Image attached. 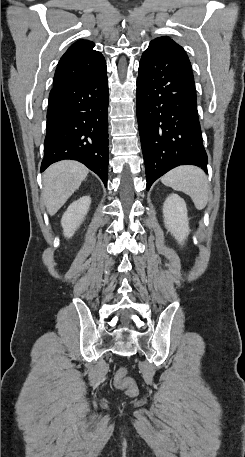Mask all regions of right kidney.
Here are the masks:
<instances>
[{
    "mask_svg": "<svg viewBox=\"0 0 245 457\" xmlns=\"http://www.w3.org/2000/svg\"><path fill=\"white\" fill-rule=\"evenodd\" d=\"M91 204V196H80L78 200H73L65 210L61 218V226H63V235L67 239L73 237L76 229L84 220Z\"/></svg>",
    "mask_w": 245,
    "mask_h": 457,
    "instance_id": "1",
    "label": "right kidney"
}]
</instances>
